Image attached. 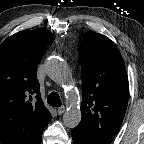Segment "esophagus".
I'll use <instances>...</instances> for the list:
<instances>
[{"mask_svg":"<svg viewBox=\"0 0 144 144\" xmlns=\"http://www.w3.org/2000/svg\"><path fill=\"white\" fill-rule=\"evenodd\" d=\"M64 112H65V106H61V107H59V108L57 109V113H58L59 115L63 114Z\"/></svg>","mask_w":144,"mask_h":144,"instance_id":"esophagus-1","label":"esophagus"}]
</instances>
